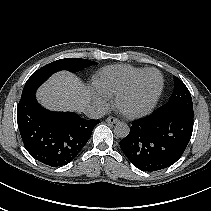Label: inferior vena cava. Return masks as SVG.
Returning <instances> with one entry per match:
<instances>
[{
  "label": "inferior vena cava",
  "instance_id": "1",
  "mask_svg": "<svg viewBox=\"0 0 211 211\" xmlns=\"http://www.w3.org/2000/svg\"><path fill=\"white\" fill-rule=\"evenodd\" d=\"M85 114L90 119H99L105 115V109L101 105H89L85 110Z\"/></svg>",
  "mask_w": 211,
  "mask_h": 211
}]
</instances>
